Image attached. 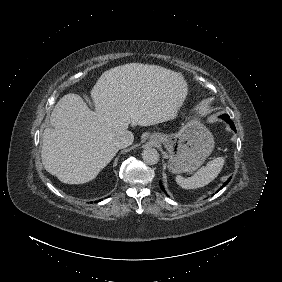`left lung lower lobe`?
<instances>
[{
	"instance_id": "1",
	"label": "left lung lower lobe",
	"mask_w": 282,
	"mask_h": 282,
	"mask_svg": "<svg viewBox=\"0 0 282 282\" xmlns=\"http://www.w3.org/2000/svg\"><path fill=\"white\" fill-rule=\"evenodd\" d=\"M220 117H221L222 119H224L226 122H228V123L230 124L231 128H232L234 131H236L235 126H234L233 122L230 120L229 115L223 114V115H221ZM230 179H231V177L228 179L227 182L224 183L223 186H225V185L230 181ZM160 186H161L162 190L165 192V190H164V188H163V186H162L161 183H160ZM220 189H222V187H221ZM218 191H219V190H218ZM165 193H166V192H165Z\"/></svg>"
}]
</instances>
